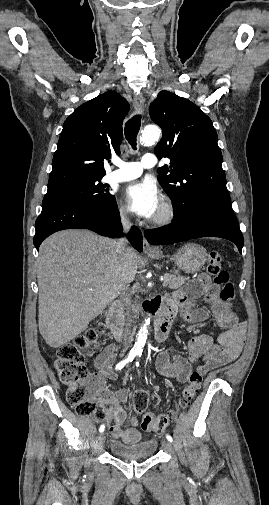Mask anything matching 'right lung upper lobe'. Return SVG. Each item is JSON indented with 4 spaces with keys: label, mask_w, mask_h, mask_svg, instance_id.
Listing matches in <instances>:
<instances>
[{
    "label": "right lung upper lobe",
    "mask_w": 269,
    "mask_h": 505,
    "mask_svg": "<svg viewBox=\"0 0 269 505\" xmlns=\"http://www.w3.org/2000/svg\"><path fill=\"white\" fill-rule=\"evenodd\" d=\"M129 103L107 91L79 106L64 122L52 161L48 189L103 178V160L120 154Z\"/></svg>",
    "instance_id": "cb5924a9"
}]
</instances>
